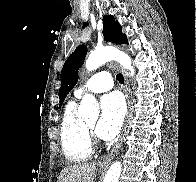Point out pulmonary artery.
Masks as SVG:
<instances>
[{"mask_svg": "<svg viewBox=\"0 0 196 182\" xmlns=\"http://www.w3.org/2000/svg\"><path fill=\"white\" fill-rule=\"evenodd\" d=\"M113 81L111 75L100 71L93 75L88 81L80 85L74 92L76 98H81L87 93H102L111 90Z\"/></svg>", "mask_w": 196, "mask_h": 182, "instance_id": "e3ab8cb5", "label": "pulmonary artery"}]
</instances>
